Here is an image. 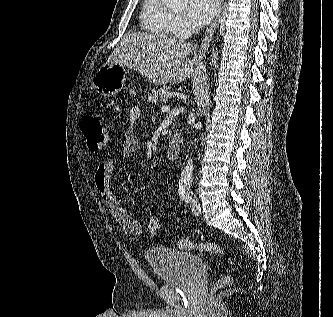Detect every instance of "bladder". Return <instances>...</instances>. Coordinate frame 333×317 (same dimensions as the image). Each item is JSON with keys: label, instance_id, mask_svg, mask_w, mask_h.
Listing matches in <instances>:
<instances>
[{"label": "bladder", "instance_id": "31cf9c89", "mask_svg": "<svg viewBox=\"0 0 333 317\" xmlns=\"http://www.w3.org/2000/svg\"><path fill=\"white\" fill-rule=\"evenodd\" d=\"M145 258L157 280L167 285L193 283L203 266L199 255L161 246L149 249Z\"/></svg>", "mask_w": 333, "mask_h": 317}]
</instances>
